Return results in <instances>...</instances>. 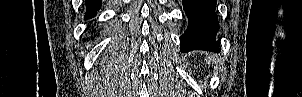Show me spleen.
Wrapping results in <instances>:
<instances>
[{
	"label": "spleen",
	"instance_id": "spleen-1",
	"mask_svg": "<svg viewBox=\"0 0 302 97\" xmlns=\"http://www.w3.org/2000/svg\"><path fill=\"white\" fill-rule=\"evenodd\" d=\"M211 56H207V58H205V61L207 62V63H210L211 62Z\"/></svg>",
	"mask_w": 302,
	"mask_h": 97
}]
</instances>
